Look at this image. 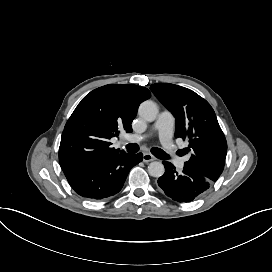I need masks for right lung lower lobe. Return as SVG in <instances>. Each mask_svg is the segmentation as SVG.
<instances>
[{"instance_id":"98d812e1","label":"right lung lower lobe","mask_w":272,"mask_h":272,"mask_svg":"<svg viewBox=\"0 0 272 272\" xmlns=\"http://www.w3.org/2000/svg\"><path fill=\"white\" fill-rule=\"evenodd\" d=\"M142 161V154L119 153L110 159L83 164L64 172L74 191L87 199L102 200L117 194L130 169Z\"/></svg>"}]
</instances>
